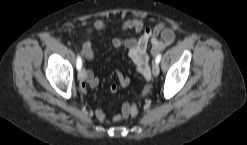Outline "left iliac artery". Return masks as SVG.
<instances>
[{
  "mask_svg": "<svg viewBox=\"0 0 247 145\" xmlns=\"http://www.w3.org/2000/svg\"><path fill=\"white\" fill-rule=\"evenodd\" d=\"M160 60H161V54H158L156 56L155 62L159 64Z\"/></svg>",
  "mask_w": 247,
  "mask_h": 145,
  "instance_id": "1",
  "label": "left iliac artery"
}]
</instances>
